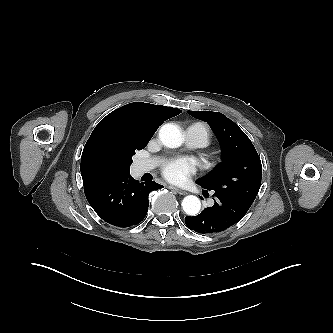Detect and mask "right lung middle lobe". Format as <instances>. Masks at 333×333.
<instances>
[{
    "mask_svg": "<svg viewBox=\"0 0 333 333\" xmlns=\"http://www.w3.org/2000/svg\"><path fill=\"white\" fill-rule=\"evenodd\" d=\"M147 144V141L128 136L109 135L100 146V155L114 175L130 174L132 156L136 150L145 148Z\"/></svg>",
    "mask_w": 333,
    "mask_h": 333,
    "instance_id": "right-lung-middle-lobe-1",
    "label": "right lung middle lobe"
}]
</instances>
